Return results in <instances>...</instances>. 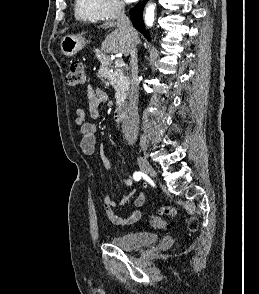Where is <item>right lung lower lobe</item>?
<instances>
[{"label": "right lung lower lobe", "instance_id": "1", "mask_svg": "<svg viewBox=\"0 0 259 294\" xmlns=\"http://www.w3.org/2000/svg\"><path fill=\"white\" fill-rule=\"evenodd\" d=\"M148 0L140 1L135 7L130 10V18L132 23L138 31H140L147 39H151L149 37V33L145 30V25L142 19L143 8Z\"/></svg>", "mask_w": 259, "mask_h": 294}]
</instances>
